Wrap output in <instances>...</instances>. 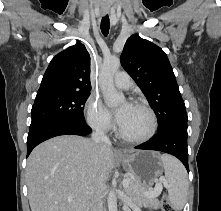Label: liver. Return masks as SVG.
Masks as SVG:
<instances>
[{"mask_svg": "<svg viewBox=\"0 0 221 211\" xmlns=\"http://www.w3.org/2000/svg\"><path fill=\"white\" fill-rule=\"evenodd\" d=\"M114 162L111 146L76 135L39 144L26 167L31 211H88L96 183L105 185Z\"/></svg>", "mask_w": 221, "mask_h": 211, "instance_id": "6515ba94", "label": "liver"}]
</instances>
